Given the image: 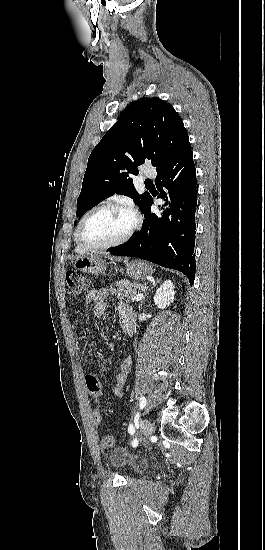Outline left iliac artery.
<instances>
[{
    "instance_id": "44dca946",
    "label": "left iliac artery",
    "mask_w": 265,
    "mask_h": 550,
    "mask_svg": "<svg viewBox=\"0 0 265 550\" xmlns=\"http://www.w3.org/2000/svg\"><path fill=\"white\" fill-rule=\"evenodd\" d=\"M145 406H146V398L142 396V397L140 398V408L143 409ZM128 432H129L131 435L134 434L135 430H134V427H133L132 424L129 425V427H128ZM131 445H132L133 447H136V446L138 445V440L135 438V439L132 441Z\"/></svg>"
}]
</instances>
